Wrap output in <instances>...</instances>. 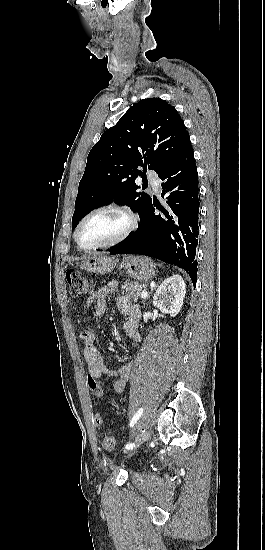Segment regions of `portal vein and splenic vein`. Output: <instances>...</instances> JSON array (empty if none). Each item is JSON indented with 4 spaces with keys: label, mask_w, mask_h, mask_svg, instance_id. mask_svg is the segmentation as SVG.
<instances>
[{
    "label": "portal vein and splenic vein",
    "mask_w": 265,
    "mask_h": 550,
    "mask_svg": "<svg viewBox=\"0 0 265 550\" xmlns=\"http://www.w3.org/2000/svg\"><path fill=\"white\" fill-rule=\"evenodd\" d=\"M141 298H147L148 297V292L147 291H143L141 294H140Z\"/></svg>",
    "instance_id": "1"
}]
</instances>
